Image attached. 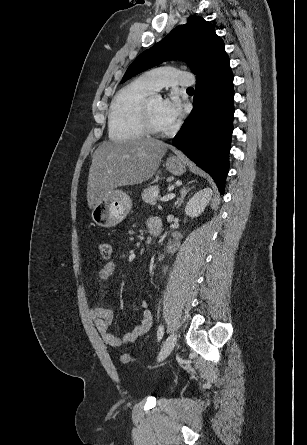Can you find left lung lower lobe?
Returning <instances> with one entry per match:
<instances>
[{
	"label": "left lung lower lobe",
	"mask_w": 307,
	"mask_h": 445,
	"mask_svg": "<svg viewBox=\"0 0 307 445\" xmlns=\"http://www.w3.org/2000/svg\"><path fill=\"white\" fill-rule=\"evenodd\" d=\"M233 74L229 58L197 76L194 108L173 144L209 173L224 194L234 115Z\"/></svg>",
	"instance_id": "obj_1"
}]
</instances>
